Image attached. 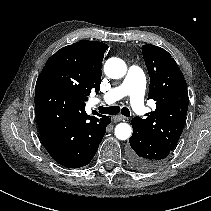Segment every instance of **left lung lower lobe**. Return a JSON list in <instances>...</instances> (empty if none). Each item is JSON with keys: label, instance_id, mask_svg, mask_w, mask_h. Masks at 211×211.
Instances as JSON below:
<instances>
[{"label": "left lung lower lobe", "instance_id": "left-lung-lower-lobe-1", "mask_svg": "<svg viewBox=\"0 0 211 211\" xmlns=\"http://www.w3.org/2000/svg\"><path fill=\"white\" fill-rule=\"evenodd\" d=\"M133 134L129 138V161L137 170L150 171L160 167L171 154L172 150L163 143L148 136L132 121Z\"/></svg>", "mask_w": 211, "mask_h": 211}]
</instances>
